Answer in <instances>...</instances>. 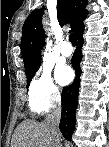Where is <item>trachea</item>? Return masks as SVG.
I'll list each match as a JSON object with an SVG mask.
<instances>
[{
	"label": "trachea",
	"instance_id": "obj_1",
	"mask_svg": "<svg viewBox=\"0 0 109 147\" xmlns=\"http://www.w3.org/2000/svg\"><path fill=\"white\" fill-rule=\"evenodd\" d=\"M69 40L72 43V45L76 46L77 45V39H76V34L75 33H71L69 36Z\"/></svg>",
	"mask_w": 109,
	"mask_h": 147
}]
</instances>
